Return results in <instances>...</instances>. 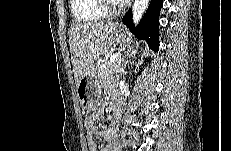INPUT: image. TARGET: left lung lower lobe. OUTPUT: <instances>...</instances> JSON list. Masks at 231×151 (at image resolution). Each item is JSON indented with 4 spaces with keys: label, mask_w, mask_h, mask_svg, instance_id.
Returning a JSON list of instances; mask_svg holds the SVG:
<instances>
[{
    "label": "left lung lower lobe",
    "mask_w": 231,
    "mask_h": 151,
    "mask_svg": "<svg viewBox=\"0 0 231 151\" xmlns=\"http://www.w3.org/2000/svg\"><path fill=\"white\" fill-rule=\"evenodd\" d=\"M163 0H151L150 5L135 29L132 20V10H129L122 22L139 38L146 40L148 46L155 51L159 47V15Z\"/></svg>",
    "instance_id": "1"
}]
</instances>
